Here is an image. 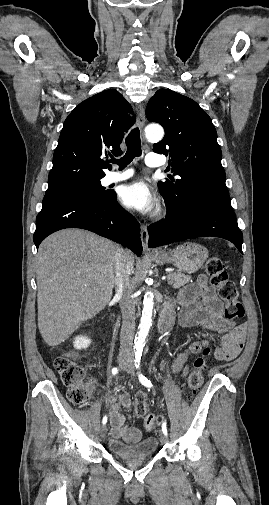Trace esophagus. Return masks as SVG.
I'll return each mask as SVG.
<instances>
[{"label":"esophagus","mask_w":269,"mask_h":505,"mask_svg":"<svg viewBox=\"0 0 269 505\" xmlns=\"http://www.w3.org/2000/svg\"><path fill=\"white\" fill-rule=\"evenodd\" d=\"M137 123L138 126L142 129L145 125V113L143 108L140 107L137 113ZM140 233H141V241H142V247L144 252L150 253L152 250L148 247V228L147 225L144 223H141L140 225Z\"/></svg>","instance_id":"34e87169"}]
</instances>
